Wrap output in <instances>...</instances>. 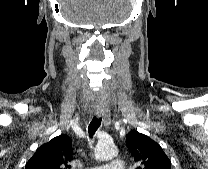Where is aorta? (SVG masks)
I'll use <instances>...</instances> for the list:
<instances>
[{
  "label": "aorta",
  "mask_w": 208,
  "mask_h": 169,
  "mask_svg": "<svg viewBox=\"0 0 208 169\" xmlns=\"http://www.w3.org/2000/svg\"><path fill=\"white\" fill-rule=\"evenodd\" d=\"M118 155V149L113 143H98L95 157L100 161L111 160Z\"/></svg>",
  "instance_id": "aorta-1"
}]
</instances>
